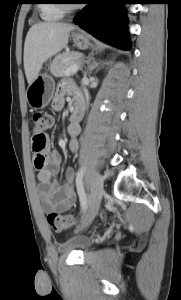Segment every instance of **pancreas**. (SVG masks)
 I'll return each instance as SVG.
<instances>
[{"instance_id":"1","label":"pancreas","mask_w":181,"mask_h":300,"mask_svg":"<svg viewBox=\"0 0 181 300\" xmlns=\"http://www.w3.org/2000/svg\"><path fill=\"white\" fill-rule=\"evenodd\" d=\"M82 54L79 52L71 51L64 52L53 60L50 66V72L55 77L66 76V70L73 64H77V61L82 58Z\"/></svg>"}]
</instances>
